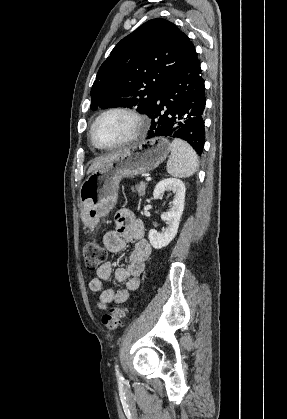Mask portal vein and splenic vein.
Segmentation results:
<instances>
[{
  "instance_id": "portal-vein-and-splenic-vein-1",
  "label": "portal vein and splenic vein",
  "mask_w": 287,
  "mask_h": 419,
  "mask_svg": "<svg viewBox=\"0 0 287 419\" xmlns=\"http://www.w3.org/2000/svg\"><path fill=\"white\" fill-rule=\"evenodd\" d=\"M146 181H147V182L151 181V177H147V178H146Z\"/></svg>"
}]
</instances>
